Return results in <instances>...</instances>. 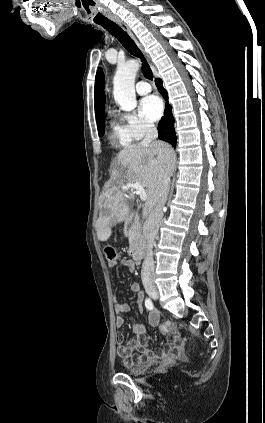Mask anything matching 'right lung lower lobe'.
<instances>
[{
  "instance_id": "1",
  "label": "right lung lower lobe",
  "mask_w": 265,
  "mask_h": 423,
  "mask_svg": "<svg viewBox=\"0 0 265 423\" xmlns=\"http://www.w3.org/2000/svg\"><path fill=\"white\" fill-rule=\"evenodd\" d=\"M156 86L163 97L168 100L167 91L162 86V81L156 79ZM159 139L170 143L173 147L176 146V135L174 131V118L171 112V106L166 103L164 116L158 124Z\"/></svg>"
}]
</instances>
